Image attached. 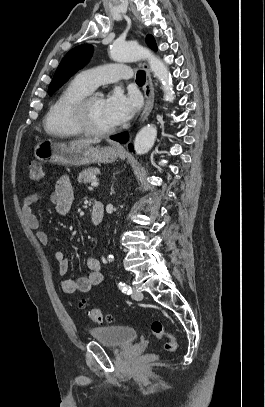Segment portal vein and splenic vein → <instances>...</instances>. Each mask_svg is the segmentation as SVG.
Segmentation results:
<instances>
[{
	"label": "portal vein and splenic vein",
	"instance_id": "18ae733b",
	"mask_svg": "<svg viewBox=\"0 0 265 407\" xmlns=\"http://www.w3.org/2000/svg\"><path fill=\"white\" fill-rule=\"evenodd\" d=\"M99 185V183L97 182V180H93L92 182H91V186L92 187H97Z\"/></svg>",
	"mask_w": 265,
	"mask_h": 407
}]
</instances>
